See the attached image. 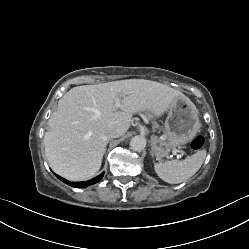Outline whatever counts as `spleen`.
<instances>
[{
	"mask_svg": "<svg viewBox=\"0 0 249 249\" xmlns=\"http://www.w3.org/2000/svg\"><path fill=\"white\" fill-rule=\"evenodd\" d=\"M206 154V150H200L184 160L155 163L154 169L163 181L170 184L182 183L200 169L206 158Z\"/></svg>",
	"mask_w": 249,
	"mask_h": 249,
	"instance_id": "obj_1",
	"label": "spleen"
}]
</instances>
